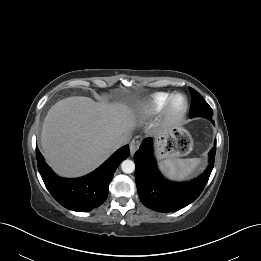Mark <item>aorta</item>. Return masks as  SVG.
Wrapping results in <instances>:
<instances>
[{
	"instance_id": "aorta-1",
	"label": "aorta",
	"mask_w": 261,
	"mask_h": 261,
	"mask_svg": "<svg viewBox=\"0 0 261 261\" xmlns=\"http://www.w3.org/2000/svg\"><path fill=\"white\" fill-rule=\"evenodd\" d=\"M121 169L124 173L130 174L134 172L135 164L132 160L126 159L121 163Z\"/></svg>"
}]
</instances>
